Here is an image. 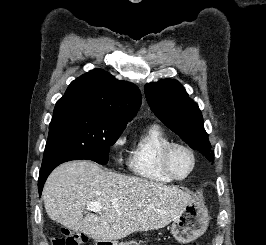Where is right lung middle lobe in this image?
<instances>
[{
    "instance_id": "dd1d6c3e",
    "label": "right lung middle lobe",
    "mask_w": 266,
    "mask_h": 245,
    "mask_svg": "<svg viewBox=\"0 0 266 245\" xmlns=\"http://www.w3.org/2000/svg\"><path fill=\"white\" fill-rule=\"evenodd\" d=\"M126 125L127 121L88 111L53 116L42 165L57 159H88L107 164L109 147Z\"/></svg>"
}]
</instances>
